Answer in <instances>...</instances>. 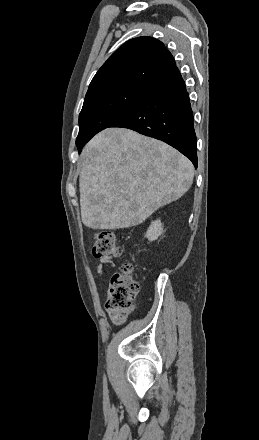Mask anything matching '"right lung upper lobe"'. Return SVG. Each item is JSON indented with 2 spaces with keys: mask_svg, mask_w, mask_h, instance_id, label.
Here are the masks:
<instances>
[{
  "mask_svg": "<svg viewBox=\"0 0 259 440\" xmlns=\"http://www.w3.org/2000/svg\"><path fill=\"white\" fill-rule=\"evenodd\" d=\"M175 67L164 44L152 37H138L124 43L98 70L85 101L121 89H150Z\"/></svg>",
  "mask_w": 259,
  "mask_h": 440,
  "instance_id": "cb5924a9",
  "label": "right lung upper lobe"
}]
</instances>
